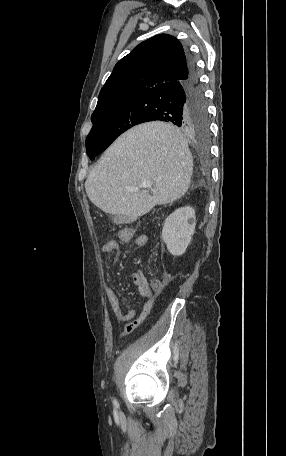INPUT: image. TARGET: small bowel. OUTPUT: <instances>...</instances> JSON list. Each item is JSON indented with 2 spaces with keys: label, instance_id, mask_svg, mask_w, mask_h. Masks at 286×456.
<instances>
[{
  "label": "small bowel",
  "instance_id": "obj_1",
  "mask_svg": "<svg viewBox=\"0 0 286 456\" xmlns=\"http://www.w3.org/2000/svg\"><path fill=\"white\" fill-rule=\"evenodd\" d=\"M125 229H122L118 232V241L117 240H107L102 245V253L105 255H112L120 250V242H128L131 240L132 235H128L125 232ZM148 243V236L145 234L138 235L135 238V245L138 248H143ZM133 284L137 288L139 296L144 299V304L140 314L136 317V311L131 309L129 311H124L117 293L111 289H106L107 300L115 313L119 321L127 322L130 321L124 328L123 335H128L133 332L150 314L153 303H154V294L153 291L146 280V278L139 272H134L131 275Z\"/></svg>",
  "mask_w": 286,
  "mask_h": 456
}]
</instances>
